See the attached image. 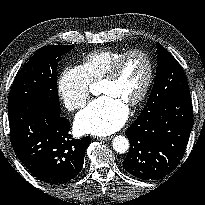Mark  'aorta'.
<instances>
[{"instance_id":"obj_1","label":"aorta","mask_w":205,"mask_h":205,"mask_svg":"<svg viewBox=\"0 0 205 205\" xmlns=\"http://www.w3.org/2000/svg\"><path fill=\"white\" fill-rule=\"evenodd\" d=\"M113 149L118 153H125L129 149V141L125 136H116L112 142Z\"/></svg>"}]
</instances>
